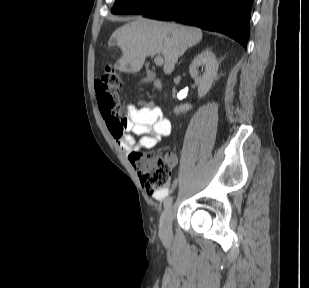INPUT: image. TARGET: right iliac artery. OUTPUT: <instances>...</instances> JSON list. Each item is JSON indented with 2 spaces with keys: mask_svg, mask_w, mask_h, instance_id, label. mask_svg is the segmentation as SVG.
Returning <instances> with one entry per match:
<instances>
[{
  "mask_svg": "<svg viewBox=\"0 0 309 288\" xmlns=\"http://www.w3.org/2000/svg\"><path fill=\"white\" fill-rule=\"evenodd\" d=\"M173 198L171 196L167 197L164 201V208H168L172 203Z\"/></svg>",
  "mask_w": 309,
  "mask_h": 288,
  "instance_id": "right-iliac-artery-1",
  "label": "right iliac artery"
}]
</instances>
